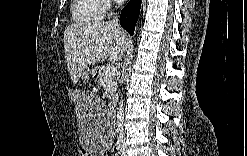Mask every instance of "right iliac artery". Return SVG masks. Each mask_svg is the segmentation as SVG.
<instances>
[{
    "label": "right iliac artery",
    "instance_id": "82829eb1",
    "mask_svg": "<svg viewBox=\"0 0 247 156\" xmlns=\"http://www.w3.org/2000/svg\"><path fill=\"white\" fill-rule=\"evenodd\" d=\"M116 149L118 150V153L120 154V152H121V146H120V143L119 142H117Z\"/></svg>",
    "mask_w": 247,
    "mask_h": 156
}]
</instances>
